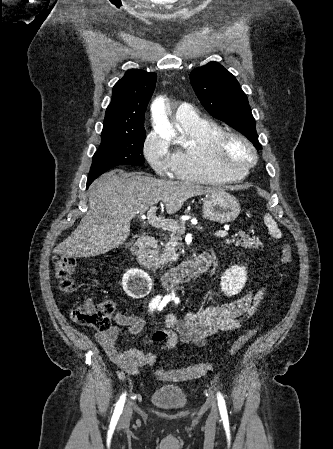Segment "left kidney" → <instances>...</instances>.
<instances>
[{
    "instance_id": "1",
    "label": "left kidney",
    "mask_w": 333,
    "mask_h": 449,
    "mask_svg": "<svg viewBox=\"0 0 333 449\" xmlns=\"http://www.w3.org/2000/svg\"><path fill=\"white\" fill-rule=\"evenodd\" d=\"M247 272L244 266H232L221 276V289L227 296L238 294L245 285Z\"/></svg>"
}]
</instances>
